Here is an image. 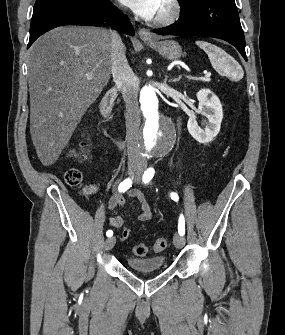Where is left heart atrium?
<instances>
[{
  "mask_svg": "<svg viewBox=\"0 0 285 335\" xmlns=\"http://www.w3.org/2000/svg\"><path fill=\"white\" fill-rule=\"evenodd\" d=\"M146 21L155 20L160 11L158 1H121Z\"/></svg>",
  "mask_w": 285,
  "mask_h": 335,
  "instance_id": "39dd6f15",
  "label": "left heart atrium"
}]
</instances>
